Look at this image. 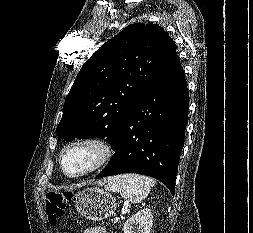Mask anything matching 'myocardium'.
I'll use <instances>...</instances> for the list:
<instances>
[{
    "label": "myocardium",
    "mask_w": 253,
    "mask_h": 233,
    "mask_svg": "<svg viewBox=\"0 0 253 233\" xmlns=\"http://www.w3.org/2000/svg\"><path fill=\"white\" fill-rule=\"evenodd\" d=\"M77 148H88L93 153L92 163L84 170L71 173L65 168V158L68 153ZM115 147L112 142L102 136H89L76 139L68 143L60 152L58 163L61 172L69 179H78L87 176L105 166L114 158Z\"/></svg>",
    "instance_id": "myocardium-1"
}]
</instances>
